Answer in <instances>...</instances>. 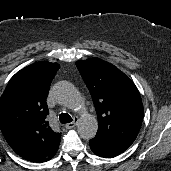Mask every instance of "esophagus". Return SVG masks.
Instances as JSON below:
<instances>
[{"label": "esophagus", "mask_w": 171, "mask_h": 171, "mask_svg": "<svg viewBox=\"0 0 171 171\" xmlns=\"http://www.w3.org/2000/svg\"><path fill=\"white\" fill-rule=\"evenodd\" d=\"M77 123H78V118L75 117L74 120H73V122L67 123V124L65 125V127H66L67 129H71V128H73L74 126H76Z\"/></svg>", "instance_id": "obj_1"}]
</instances>
